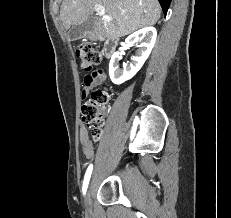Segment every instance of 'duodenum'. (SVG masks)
<instances>
[{"mask_svg": "<svg viewBox=\"0 0 231 218\" xmlns=\"http://www.w3.org/2000/svg\"><path fill=\"white\" fill-rule=\"evenodd\" d=\"M93 37L94 38H99L100 36L93 34ZM104 48H105L106 54L108 56H111L116 51L117 40L115 38L106 39Z\"/></svg>", "mask_w": 231, "mask_h": 218, "instance_id": "obj_1", "label": "duodenum"}]
</instances>
